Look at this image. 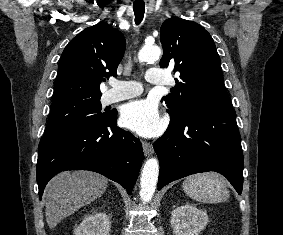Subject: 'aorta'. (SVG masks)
Segmentation results:
<instances>
[{
  "mask_svg": "<svg viewBox=\"0 0 283 235\" xmlns=\"http://www.w3.org/2000/svg\"><path fill=\"white\" fill-rule=\"evenodd\" d=\"M161 49L156 45L144 46L138 53L140 62H151L159 59ZM159 175V163L156 158L148 159L143 165L140 177V198L143 202H149L155 193Z\"/></svg>",
  "mask_w": 283,
  "mask_h": 235,
  "instance_id": "762f6f07",
  "label": "aorta"
}]
</instances>
